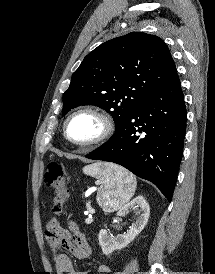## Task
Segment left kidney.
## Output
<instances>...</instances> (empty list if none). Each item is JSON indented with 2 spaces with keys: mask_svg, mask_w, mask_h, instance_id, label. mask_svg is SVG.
<instances>
[{
  "mask_svg": "<svg viewBox=\"0 0 215 274\" xmlns=\"http://www.w3.org/2000/svg\"><path fill=\"white\" fill-rule=\"evenodd\" d=\"M130 209L134 210V212L137 214V217L135 222L132 223L130 230L126 234L113 236L104 229L99 232L98 239L103 254L109 255L114 250L123 249L130 242H132L147 225L150 215V207L143 196H138L130 203L121 207L117 215L125 216Z\"/></svg>",
  "mask_w": 215,
  "mask_h": 274,
  "instance_id": "5707ae66",
  "label": "left kidney"
}]
</instances>
